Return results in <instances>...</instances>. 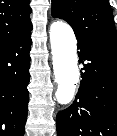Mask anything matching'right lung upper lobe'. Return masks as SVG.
Masks as SVG:
<instances>
[{
    "mask_svg": "<svg viewBox=\"0 0 117 136\" xmlns=\"http://www.w3.org/2000/svg\"><path fill=\"white\" fill-rule=\"evenodd\" d=\"M30 0H0V44L32 29Z\"/></svg>",
    "mask_w": 117,
    "mask_h": 136,
    "instance_id": "obj_1",
    "label": "right lung upper lobe"
}]
</instances>
